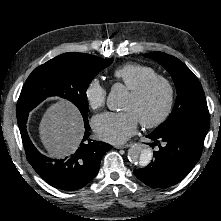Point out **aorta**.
Masks as SVG:
<instances>
[{"instance_id": "obj_1", "label": "aorta", "mask_w": 221, "mask_h": 221, "mask_svg": "<svg viewBox=\"0 0 221 221\" xmlns=\"http://www.w3.org/2000/svg\"><path fill=\"white\" fill-rule=\"evenodd\" d=\"M127 96V91L122 85L114 86L108 97L107 107L110 110H119ZM153 157V151L149 146L143 144H134L128 149L129 161L137 166H147Z\"/></svg>"}]
</instances>
